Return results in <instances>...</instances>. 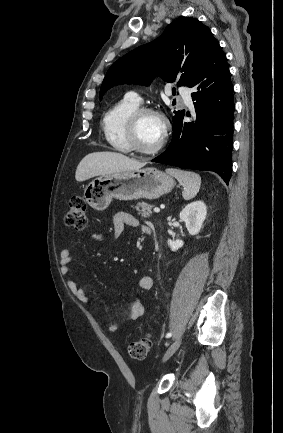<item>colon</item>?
<instances>
[{
	"mask_svg": "<svg viewBox=\"0 0 283 433\" xmlns=\"http://www.w3.org/2000/svg\"><path fill=\"white\" fill-rule=\"evenodd\" d=\"M64 222L67 226L77 231H83L87 227L86 203L81 196H74L70 200L69 208L65 214ZM151 348V339L146 335L128 346V354L131 358L141 360L146 357Z\"/></svg>",
	"mask_w": 283,
	"mask_h": 433,
	"instance_id": "5ec220e1",
	"label": "colon"
}]
</instances>
